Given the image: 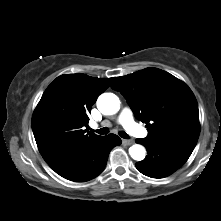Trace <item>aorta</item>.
I'll list each match as a JSON object with an SVG mask.
<instances>
[{
	"mask_svg": "<svg viewBox=\"0 0 221 221\" xmlns=\"http://www.w3.org/2000/svg\"><path fill=\"white\" fill-rule=\"evenodd\" d=\"M97 108L104 115H113L120 109V100L113 93H103L97 100ZM130 156L136 161H142L145 158L146 150L142 145L135 144L129 148Z\"/></svg>",
	"mask_w": 221,
	"mask_h": 221,
	"instance_id": "aorta-1",
	"label": "aorta"
}]
</instances>
